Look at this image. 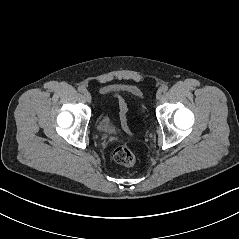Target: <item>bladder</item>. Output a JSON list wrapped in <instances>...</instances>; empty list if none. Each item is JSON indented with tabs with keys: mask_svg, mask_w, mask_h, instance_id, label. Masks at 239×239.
Returning a JSON list of instances; mask_svg holds the SVG:
<instances>
[{
	"mask_svg": "<svg viewBox=\"0 0 239 239\" xmlns=\"http://www.w3.org/2000/svg\"><path fill=\"white\" fill-rule=\"evenodd\" d=\"M127 90L137 98L140 110L143 113H146V107L142 91L138 87H128ZM96 127L97 130L103 134H110L115 132V126L106 114H101L97 118Z\"/></svg>",
	"mask_w": 239,
	"mask_h": 239,
	"instance_id": "1",
	"label": "bladder"
}]
</instances>
